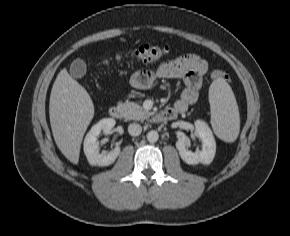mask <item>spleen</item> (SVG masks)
<instances>
[{
	"label": "spleen",
	"instance_id": "3e777b00",
	"mask_svg": "<svg viewBox=\"0 0 290 236\" xmlns=\"http://www.w3.org/2000/svg\"><path fill=\"white\" fill-rule=\"evenodd\" d=\"M211 125L215 134L226 142H234L240 130V117L234 93L222 78L209 88Z\"/></svg>",
	"mask_w": 290,
	"mask_h": 236
}]
</instances>
